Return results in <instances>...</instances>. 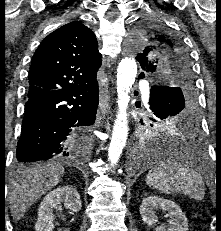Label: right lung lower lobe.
Segmentation results:
<instances>
[{
    "label": "right lung lower lobe",
    "instance_id": "1",
    "mask_svg": "<svg viewBox=\"0 0 221 231\" xmlns=\"http://www.w3.org/2000/svg\"><path fill=\"white\" fill-rule=\"evenodd\" d=\"M99 99L97 80L82 88L49 91L28 98L18 162L79 156L86 150V129L93 125Z\"/></svg>",
    "mask_w": 221,
    "mask_h": 231
}]
</instances>
